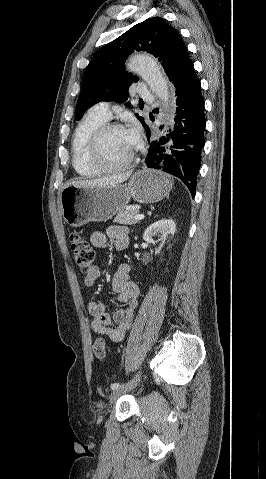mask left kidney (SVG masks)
I'll return each instance as SVG.
<instances>
[{
    "instance_id": "5707ae66",
    "label": "left kidney",
    "mask_w": 266,
    "mask_h": 479,
    "mask_svg": "<svg viewBox=\"0 0 266 479\" xmlns=\"http://www.w3.org/2000/svg\"><path fill=\"white\" fill-rule=\"evenodd\" d=\"M176 231V225L173 220L163 219L151 224L144 232L143 239L149 243L153 242V237L157 234H161L163 237V243L167 239L168 235H174Z\"/></svg>"
}]
</instances>
